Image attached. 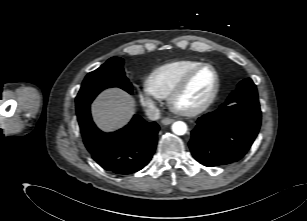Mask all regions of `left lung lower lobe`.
<instances>
[{"label":"left lung lower lobe","instance_id":"1","mask_svg":"<svg viewBox=\"0 0 307 221\" xmlns=\"http://www.w3.org/2000/svg\"><path fill=\"white\" fill-rule=\"evenodd\" d=\"M260 125L257 93H232L216 110L197 120L189 142L191 153L207 167L237 162L251 147Z\"/></svg>","mask_w":307,"mask_h":221}]
</instances>
